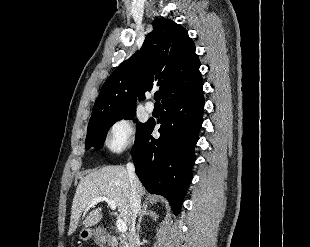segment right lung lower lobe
Returning a JSON list of instances; mask_svg holds the SVG:
<instances>
[{"label":"right lung lower lobe","instance_id":"1","mask_svg":"<svg viewBox=\"0 0 310 247\" xmlns=\"http://www.w3.org/2000/svg\"><path fill=\"white\" fill-rule=\"evenodd\" d=\"M202 81L162 101L160 137L151 136L155 122H146L135 138L132 157L136 174L152 194L166 197L175 215L191 180L194 147L202 124Z\"/></svg>","mask_w":310,"mask_h":247}]
</instances>
